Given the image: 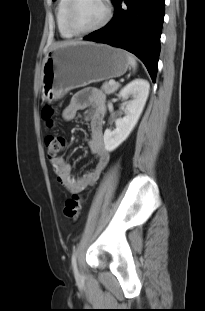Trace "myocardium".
<instances>
[{
	"instance_id": "obj_1",
	"label": "myocardium",
	"mask_w": 205,
	"mask_h": 311,
	"mask_svg": "<svg viewBox=\"0 0 205 311\" xmlns=\"http://www.w3.org/2000/svg\"><path fill=\"white\" fill-rule=\"evenodd\" d=\"M101 2L105 6V16L102 19V21L92 28L79 29L73 21V12H74V8L77 3V0H69L68 5H67V10H66V23H67L68 28L74 35L81 36V35H87V34L97 32L101 30L102 28H104L109 23L112 17V6L110 3V0H101Z\"/></svg>"
}]
</instances>
